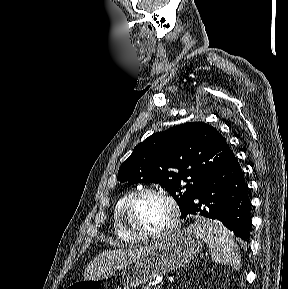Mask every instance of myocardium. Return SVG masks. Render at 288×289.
<instances>
[{
	"label": "myocardium",
	"mask_w": 288,
	"mask_h": 289,
	"mask_svg": "<svg viewBox=\"0 0 288 289\" xmlns=\"http://www.w3.org/2000/svg\"><path fill=\"white\" fill-rule=\"evenodd\" d=\"M144 195L157 196L163 199L170 208L171 220L169 224L165 228L157 232H153V233L140 232L136 230L135 228H133L128 221V212L130 208L136 202L137 199H139L140 197ZM119 220H120V224L122 228L133 238L137 240H142V241L158 240V239L168 237L169 235H171L173 232L176 231V229L179 226V221H180V208L176 200L166 191L161 190V189H156L153 187H144V188L134 191L122 204L119 210Z\"/></svg>",
	"instance_id": "myocardium-1"
}]
</instances>
